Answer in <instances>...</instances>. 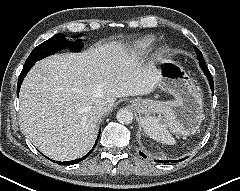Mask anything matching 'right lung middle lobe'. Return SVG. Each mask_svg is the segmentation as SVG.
Masks as SVG:
<instances>
[{"instance_id": "1", "label": "right lung middle lobe", "mask_w": 240, "mask_h": 191, "mask_svg": "<svg viewBox=\"0 0 240 191\" xmlns=\"http://www.w3.org/2000/svg\"><path fill=\"white\" fill-rule=\"evenodd\" d=\"M81 36L82 35H77V37ZM66 47L71 48L72 51L80 52L83 48L82 39H77L76 41H68L67 39H65L64 34L58 33L52 38L37 46L27 58L25 65L35 64L36 61L41 60L51 54H54L56 51Z\"/></svg>"}]
</instances>
